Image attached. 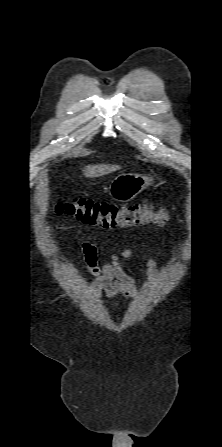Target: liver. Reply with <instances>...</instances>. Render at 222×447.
Wrapping results in <instances>:
<instances>
[{"label": "liver", "instance_id": "6515ba94", "mask_svg": "<svg viewBox=\"0 0 222 447\" xmlns=\"http://www.w3.org/2000/svg\"><path fill=\"white\" fill-rule=\"evenodd\" d=\"M120 169L117 165H88L83 169V174L87 178L99 177Z\"/></svg>", "mask_w": 222, "mask_h": 447}]
</instances>
